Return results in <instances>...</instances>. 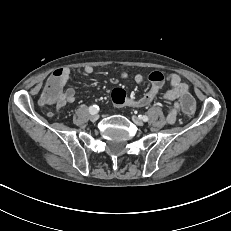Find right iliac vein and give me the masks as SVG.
I'll return each mask as SVG.
<instances>
[{
    "mask_svg": "<svg viewBox=\"0 0 231 231\" xmlns=\"http://www.w3.org/2000/svg\"><path fill=\"white\" fill-rule=\"evenodd\" d=\"M89 118H90V120H91L92 122H95V121L98 120L99 115H98V114H91Z\"/></svg>",
    "mask_w": 231,
    "mask_h": 231,
    "instance_id": "obj_1",
    "label": "right iliac vein"
}]
</instances>
